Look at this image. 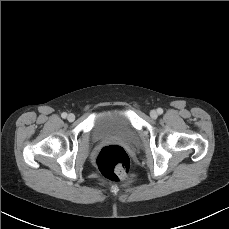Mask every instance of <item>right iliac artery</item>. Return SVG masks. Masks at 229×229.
<instances>
[{"instance_id":"1","label":"right iliac artery","mask_w":229,"mask_h":229,"mask_svg":"<svg viewBox=\"0 0 229 229\" xmlns=\"http://www.w3.org/2000/svg\"><path fill=\"white\" fill-rule=\"evenodd\" d=\"M61 117H62V118H66V117H67V113L63 112V113L61 114Z\"/></svg>"}]
</instances>
